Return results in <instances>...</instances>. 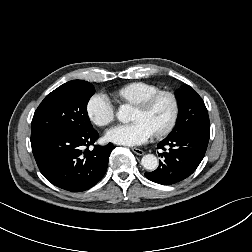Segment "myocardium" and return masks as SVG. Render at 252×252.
<instances>
[{
    "mask_svg": "<svg viewBox=\"0 0 252 252\" xmlns=\"http://www.w3.org/2000/svg\"><path fill=\"white\" fill-rule=\"evenodd\" d=\"M163 98L167 99L170 102L171 111L166 123L155 131V134L158 136H164L168 134L176 124L179 114V103L177 97L171 92L159 91L143 102L137 104V107L139 109L144 112H149L153 109L156 103Z\"/></svg>",
    "mask_w": 252,
    "mask_h": 252,
    "instance_id": "f54148a6",
    "label": "myocardium"
}]
</instances>
